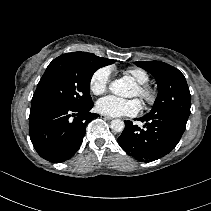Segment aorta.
Here are the masks:
<instances>
[{"label":"aorta","mask_w":211,"mask_h":211,"mask_svg":"<svg viewBox=\"0 0 211 211\" xmlns=\"http://www.w3.org/2000/svg\"><path fill=\"white\" fill-rule=\"evenodd\" d=\"M130 88V81L126 78H120L113 81L109 89L110 91L118 96H126ZM125 127V124L120 119H114L110 122V128L116 132H122Z\"/></svg>","instance_id":"aorta-1"}]
</instances>
